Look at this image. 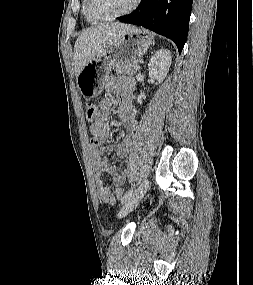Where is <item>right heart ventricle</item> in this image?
Here are the masks:
<instances>
[{
  "label": "right heart ventricle",
  "instance_id": "e07e8e85",
  "mask_svg": "<svg viewBox=\"0 0 253 285\" xmlns=\"http://www.w3.org/2000/svg\"><path fill=\"white\" fill-rule=\"evenodd\" d=\"M84 17H85V19H86L87 21H90V20L86 17L85 13H84Z\"/></svg>",
  "mask_w": 253,
  "mask_h": 285
}]
</instances>
